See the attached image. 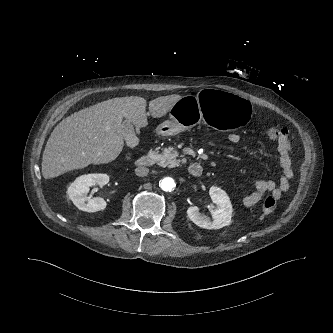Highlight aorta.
Listing matches in <instances>:
<instances>
[{"label": "aorta", "instance_id": "aorta-1", "mask_svg": "<svg viewBox=\"0 0 333 333\" xmlns=\"http://www.w3.org/2000/svg\"><path fill=\"white\" fill-rule=\"evenodd\" d=\"M160 187L163 191H171L175 188V181L171 177H165L161 180Z\"/></svg>", "mask_w": 333, "mask_h": 333}]
</instances>
